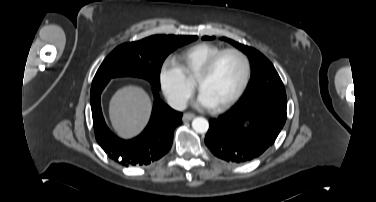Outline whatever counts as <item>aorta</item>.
<instances>
[{"mask_svg":"<svg viewBox=\"0 0 376 202\" xmlns=\"http://www.w3.org/2000/svg\"><path fill=\"white\" fill-rule=\"evenodd\" d=\"M192 128L197 133H205L209 128L208 121L203 117H196L192 121Z\"/></svg>","mask_w":376,"mask_h":202,"instance_id":"762f6f07","label":"aorta"}]
</instances>
